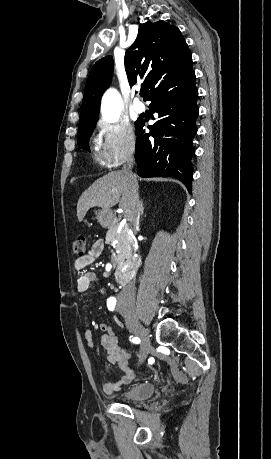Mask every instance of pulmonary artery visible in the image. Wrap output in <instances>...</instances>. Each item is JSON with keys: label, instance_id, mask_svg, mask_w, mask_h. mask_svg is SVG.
<instances>
[{"label": "pulmonary artery", "instance_id": "pulmonary-artery-1", "mask_svg": "<svg viewBox=\"0 0 271 459\" xmlns=\"http://www.w3.org/2000/svg\"><path fill=\"white\" fill-rule=\"evenodd\" d=\"M145 104L140 100V99H135L133 104H132V111L135 113V114H141L143 112H145Z\"/></svg>", "mask_w": 271, "mask_h": 459}]
</instances>
